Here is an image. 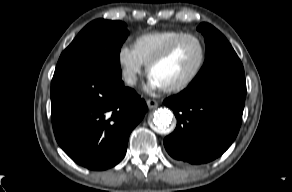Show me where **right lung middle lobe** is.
<instances>
[{
    "label": "right lung middle lobe",
    "instance_id": "dd1d6c3e",
    "mask_svg": "<svg viewBox=\"0 0 292 192\" xmlns=\"http://www.w3.org/2000/svg\"><path fill=\"white\" fill-rule=\"evenodd\" d=\"M128 34L121 21L94 20L62 52L57 65L91 66L121 77L119 53Z\"/></svg>",
    "mask_w": 292,
    "mask_h": 192
}]
</instances>
